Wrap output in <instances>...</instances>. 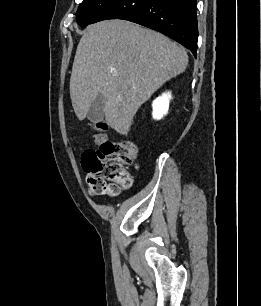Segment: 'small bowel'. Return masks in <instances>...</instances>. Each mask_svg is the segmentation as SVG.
<instances>
[{"mask_svg":"<svg viewBox=\"0 0 261 306\" xmlns=\"http://www.w3.org/2000/svg\"><path fill=\"white\" fill-rule=\"evenodd\" d=\"M120 191V188L119 189H113V190H109V191H107L108 193H110V194H117L118 192Z\"/></svg>","mask_w":261,"mask_h":306,"instance_id":"obj_1","label":"small bowel"}]
</instances>
